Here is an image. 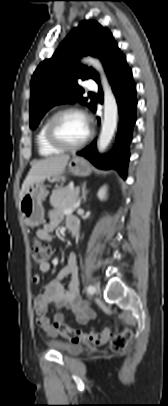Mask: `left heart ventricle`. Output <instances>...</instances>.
Instances as JSON below:
<instances>
[{
  "mask_svg": "<svg viewBox=\"0 0 168 406\" xmlns=\"http://www.w3.org/2000/svg\"><path fill=\"white\" fill-rule=\"evenodd\" d=\"M55 131L60 140L73 144L86 137L89 127L86 119L77 113H68L60 117L55 126Z\"/></svg>",
  "mask_w": 168,
  "mask_h": 406,
  "instance_id": "left-heart-ventricle-1",
  "label": "left heart ventricle"
}]
</instances>
